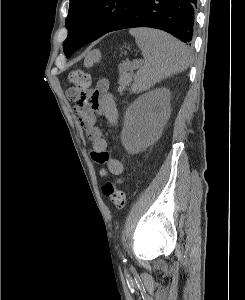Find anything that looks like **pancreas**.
<instances>
[{
  "mask_svg": "<svg viewBox=\"0 0 245 300\" xmlns=\"http://www.w3.org/2000/svg\"><path fill=\"white\" fill-rule=\"evenodd\" d=\"M132 69H134L133 66H128V67L121 69V73L119 76V83H120L119 91L120 92L125 90L126 86L129 85V83L131 82V80H132L131 75L127 71L132 70Z\"/></svg>",
  "mask_w": 245,
  "mask_h": 300,
  "instance_id": "pancreas-1",
  "label": "pancreas"
}]
</instances>
